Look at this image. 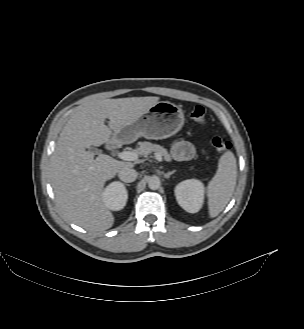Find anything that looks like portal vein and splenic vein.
<instances>
[{"label":"portal vein and splenic vein","mask_w":304,"mask_h":329,"mask_svg":"<svg viewBox=\"0 0 304 329\" xmlns=\"http://www.w3.org/2000/svg\"><path fill=\"white\" fill-rule=\"evenodd\" d=\"M118 157L125 161H137L139 154L136 151H122L118 153ZM155 159L162 161V156L159 153H155Z\"/></svg>","instance_id":"1"}]
</instances>
